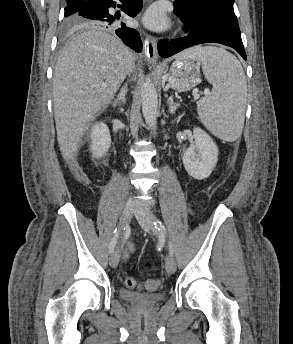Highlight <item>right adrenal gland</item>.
I'll use <instances>...</instances> for the list:
<instances>
[{
  "instance_id": "right-adrenal-gland-1",
  "label": "right adrenal gland",
  "mask_w": 293,
  "mask_h": 344,
  "mask_svg": "<svg viewBox=\"0 0 293 344\" xmlns=\"http://www.w3.org/2000/svg\"><path fill=\"white\" fill-rule=\"evenodd\" d=\"M126 94H127V84H125L120 93L117 95L116 99L113 102V106H121L122 104L126 103Z\"/></svg>"
}]
</instances>
